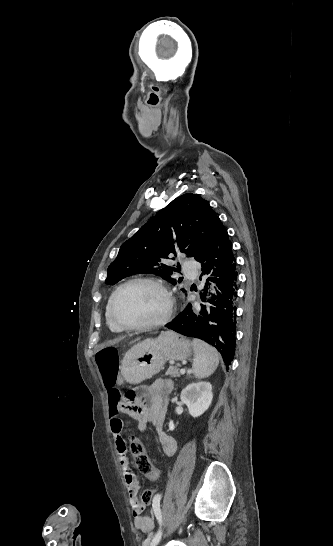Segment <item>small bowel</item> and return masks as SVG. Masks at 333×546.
Segmentation results:
<instances>
[{"label":"small bowel","mask_w":333,"mask_h":546,"mask_svg":"<svg viewBox=\"0 0 333 546\" xmlns=\"http://www.w3.org/2000/svg\"><path fill=\"white\" fill-rule=\"evenodd\" d=\"M125 375L118 374L116 376L115 386L122 387L125 383ZM173 390V382L170 379H156L147 386H142L137 389L136 395L138 404L132 408H128L126 404L112 403L110 401V429L115 440V447L119 459L120 466L123 469L126 486L129 492L130 502L133 509L134 527L143 532H151L155 525V519L161 515L160 503L162 495L157 494L152 504L149 515H142L144 505L138 499L140 484L136 474L130 466V461L127 455L126 442L123 438V430L132 429L120 418L119 413L128 411L129 415L134 417L139 422V430L146 431L147 424L150 423L158 434V439L165 455L172 456L175 454L177 444L163 427L165 409L169 401V396ZM160 474L148 477L151 481L159 478Z\"/></svg>","instance_id":"small-bowel-1"}]
</instances>
